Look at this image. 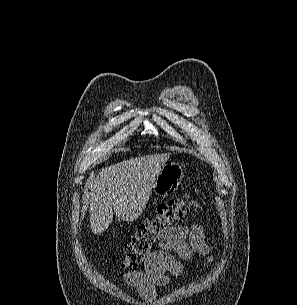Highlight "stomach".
Masks as SVG:
<instances>
[{
	"instance_id": "obj_1",
	"label": "stomach",
	"mask_w": 297,
	"mask_h": 305,
	"mask_svg": "<svg viewBox=\"0 0 297 305\" xmlns=\"http://www.w3.org/2000/svg\"><path fill=\"white\" fill-rule=\"evenodd\" d=\"M184 177L183 166L176 162L166 163L157 176L152 190L158 197H168L175 193Z\"/></svg>"
}]
</instances>
